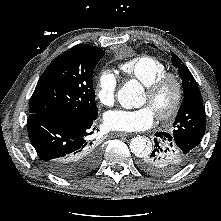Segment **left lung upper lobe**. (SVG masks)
<instances>
[{
    "label": "left lung upper lobe",
    "mask_w": 221,
    "mask_h": 221,
    "mask_svg": "<svg viewBox=\"0 0 221 221\" xmlns=\"http://www.w3.org/2000/svg\"><path fill=\"white\" fill-rule=\"evenodd\" d=\"M172 62L183 83L184 98L173 123L172 135L186 153L194 155L206 128L205 108L201 92L189 69L172 53Z\"/></svg>",
    "instance_id": "1"
}]
</instances>
